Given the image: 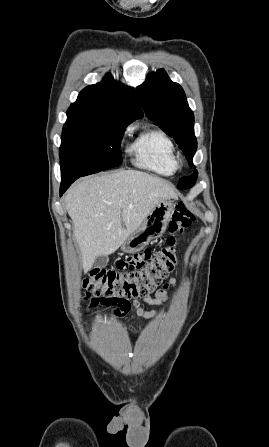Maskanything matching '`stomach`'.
<instances>
[{
  "label": "stomach",
  "mask_w": 269,
  "mask_h": 447,
  "mask_svg": "<svg viewBox=\"0 0 269 447\" xmlns=\"http://www.w3.org/2000/svg\"><path fill=\"white\" fill-rule=\"evenodd\" d=\"M174 208L175 204H173L172 200H162V202L156 204L155 208L143 220V224L136 231L130 233L126 241L122 243V251H127V253L140 251L145 245H148L151 239H156V237L163 235L168 222L171 220Z\"/></svg>",
  "instance_id": "0dacf381"
}]
</instances>
